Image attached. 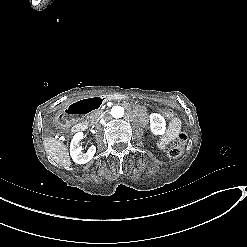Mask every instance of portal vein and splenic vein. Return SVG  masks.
<instances>
[{"mask_svg": "<svg viewBox=\"0 0 247 247\" xmlns=\"http://www.w3.org/2000/svg\"><path fill=\"white\" fill-rule=\"evenodd\" d=\"M107 107V104H103V106H101V109H105Z\"/></svg>", "mask_w": 247, "mask_h": 247, "instance_id": "1", "label": "portal vein and splenic vein"}]
</instances>
